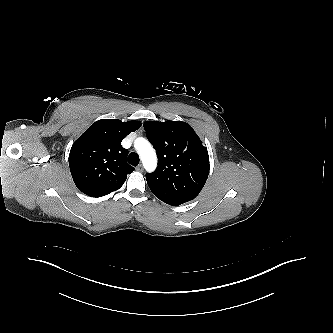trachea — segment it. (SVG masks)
Returning a JSON list of instances; mask_svg holds the SVG:
<instances>
[{
	"label": "trachea",
	"instance_id": "trachea-1",
	"mask_svg": "<svg viewBox=\"0 0 333 333\" xmlns=\"http://www.w3.org/2000/svg\"><path fill=\"white\" fill-rule=\"evenodd\" d=\"M129 164L137 166L139 164V156L135 152H131L128 156Z\"/></svg>",
	"mask_w": 333,
	"mask_h": 333
}]
</instances>
